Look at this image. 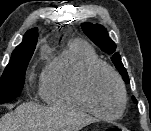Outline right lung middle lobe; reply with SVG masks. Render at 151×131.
Here are the masks:
<instances>
[{"label":"right lung middle lobe","mask_w":151,"mask_h":131,"mask_svg":"<svg viewBox=\"0 0 151 131\" xmlns=\"http://www.w3.org/2000/svg\"><path fill=\"white\" fill-rule=\"evenodd\" d=\"M36 44L16 48L0 79V104L14 100L22 91L25 72Z\"/></svg>","instance_id":"dd1d6c3e"}]
</instances>
